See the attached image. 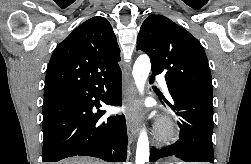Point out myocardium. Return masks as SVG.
Returning a JSON list of instances; mask_svg holds the SVG:
<instances>
[{"mask_svg": "<svg viewBox=\"0 0 251 164\" xmlns=\"http://www.w3.org/2000/svg\"><path fill=\"white\" fill-rule=\"evenodd\" d=\"M155 137L162 144L173 142L177 137L175 124L169 118H162L157 125Z\"/></svg>", "mask_w": 251, "mask_h": 164, "instance_id": "myocardium-1", "label": "myocardium"}]
</instances>
